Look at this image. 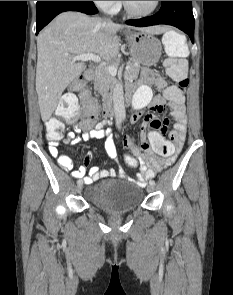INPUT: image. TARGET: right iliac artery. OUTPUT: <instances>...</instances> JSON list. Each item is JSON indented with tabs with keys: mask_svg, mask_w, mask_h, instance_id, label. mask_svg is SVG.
<instances>
[{
	"mask_svg": "<svg viewBox=\"0 0 233 295\" xmlns=\"http://www.w3.org/2000/svg\"><path fill=\"white\" fill-rule=\"evenodd\" d=\"M120 123H121V120L117 119V125H120Z\"/></svg>",
	"mask_w": 233,
	"mask_h": 295,
	"instance_id": "82829eb1",
	"label": "right iliac artery"
}]
</instances>
